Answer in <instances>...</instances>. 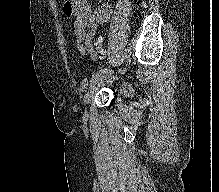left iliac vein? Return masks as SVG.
<instances>
[{
	"mask_svg": "<svg viewBox=\"0 0 219 192\" xmlns=\"http://www.w3.org/2000/svg\"><path fill=\"white\" fill-rule=\"evenodd\" d=\"M113 73L112 70L110 71H106L103 74L97 76L90 84L88 90L86 91V93L83 96V104L86 106L88 105L94 98V95L96 93V90L98 89V87H100V85L102 83H104L107 78H110L111 74ZM108 82H111V80L109 79Z\"/></svg>",
	"mask_w": 219,
	"mask_h": 192,
	"instance_id": "obj_1",
	"label": "left iliac vein"
}]
</instances>
